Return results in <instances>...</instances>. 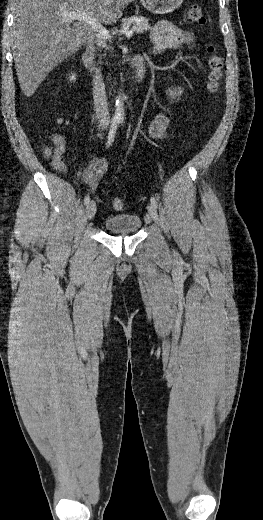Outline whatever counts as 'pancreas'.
<instances>
[{
  "label": "pancreas",
  "instance_id": "pancreas-1",
  "mask_svg": "<svg viewBox=\"0 0 263 520\" xmlns=\"http://www.w3.org/2000/svg\"><path fill=\"white\" fill-rule=\"evenodd\" d=\"M131 25H133L132 30L136 33H142L151 28L149 25V19L142 16H132L124 19L121 28L127 30Z\"/></svg>",
  "mask_w": 263,
  "mask_h": 520
}]
</instances>
